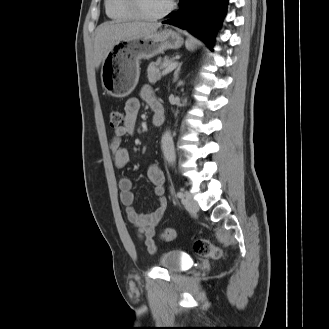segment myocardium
I'll return each mask as SVG.
<instances>
[{
  "mask_svg": "<svg viewBox=\"0 0 329 329\" xmlns=\"http://www.w3.org/2000/svg\"><path fill=\"white\" fill-rule=\"evenodd\" d=\"M124 1L127 8L133 13L135 18L146 22H155L165 18L173 11L175 7V1L170 0V3L167 6V8L163 10L161 13L156 15H147L143 12L139 0H124Z\"/></svg>",
  "mask_w": 329,
  "mask_h": 329,
  "instance_id": "myocardium-1",
  "label": "myocardium"
}]
</instances>
